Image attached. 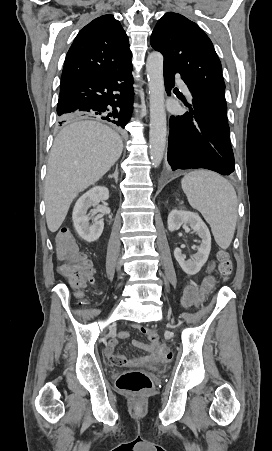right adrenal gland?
<instances>
[{
	"label": "right adrenal gland",
	"mask_w": 272,
	"mask_h": 451,
	"mask_svg": "<svg viewBox=\"0 0 272 451\" xmlns=\"http://www.w3.org/2000/svg\"><path fill=\"white\" fill-rule=\"evenodd\" d=\"M117 166H118V164H117ZM108 178H114V180H115V182L117 184V182H118V170H117V168H116L114 174H111V176H108Z\"/></svg>",
	"instance_id": "2a0ac1e0"
}]
</instances>
